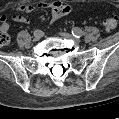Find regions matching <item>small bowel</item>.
I'll return each mask as SVG.
<instances>
[{
  "instance_id": "obj_1",
  "label": "small bowel",
  "mask_w": 119,
  "mask_h": 119,
  "mask_svg": "<svg viewBox=\"0 0 119 119\" xmlns=\"http://www.w3.org/2000/svg\"><path fill=\"white\" fill-rule=\"evenodd\" d=\"M50 8L52 21L58 20L59 18L66 16L72 11L70 4L63 1H52V2H39L37 4H21L18 6L17 10L22 13H30L35 9ZM2 27L9 31V24L6 21V17H2ZM11 20L14 22H19L23 24H28L30 19L22 15H13Z\"/></svg>"
}]
</instances>
